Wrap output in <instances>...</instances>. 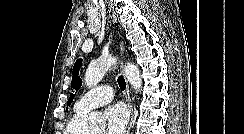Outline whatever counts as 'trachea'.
Masks as SVG:
<instances>
[{"instance_id": "1", "label": "trachea", "mask_w": 244, "mask_h": 134, "mask_svg": "<svg viewBox=\"0 0 244 134\" xmlns=\"http://www.w3.org/2000/svg\"><path fill=\"white\" fill-rule=\"evenodd\" d=\"M117 82H118L120 89L125 90L126 82H125V79L123 78V76H119L117 79Z\"/></svg>"}]
</instances>
